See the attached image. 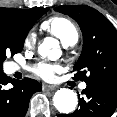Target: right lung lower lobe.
<instances>
[{"label": "right lung lower lobe", "instance_id": "obj_1", "mask_svg": "<svg viewBox=\"0 0 117 117\" xmlns=\"http://www.w3.org/2000/svg\"><path fill=\"white\" fill-rule=\"evenodd\" d=\"M8 83H12L13 86L9 88ZM41 89L36 80H12L0 72V117H24L31 96Z\"/></svg>", "mask_w": 117, "mask_h": 117}]
</instances>
